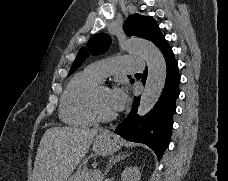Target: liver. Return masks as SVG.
<instances>
[{
    "label": "liver",
    "instance_id": "1",
    "mask_svg": "<svg viewBox=\"0 0 228 181\" xmlns=\"http://www.w3.org/2000/svg\"><path fill=\"white\" fill-rule=\"evenodd\" d=\"M97 133L87 127L47 129L37 149L32 181H67Z\"/></svg>",
    "mask_w": 228,
    "mask_h": 181
}]
</instances>
